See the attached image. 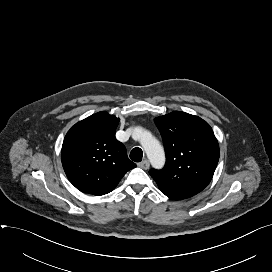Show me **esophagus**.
Here are the masks:
<instances>
[{"instance_id": "obj_1", "label": "esophagus", "mask_w": 272, "mask_h": 272, "mask_svg": "<svg viewBox=\"0 0 272 272\" xmlns=\"http://www.w3.org/2000/svg\"><path fill=\"white\" fill-rule=\"evenodd\" d=\"M138 166L144 170H147L150 166L149 161L147 159L143 160L142 162L138 163Z\"/></svg>"}]
</instances>
